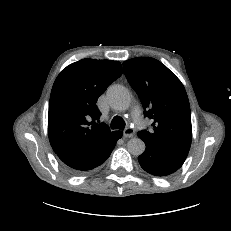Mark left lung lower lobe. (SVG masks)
Wrapping results in <instances>:
<instances>
[{
    "instance_id": "1",
    "label": "left lung lower lobe",
    "mask_w": 231,
    "mask_h": 231,
    "mask_svg": "<svg viewBox=\"0 0 231 231\" xmlns=\"http://www.w3.org/2000/svg\"><path fill=\"white\" fill-rule=\"evenodd\" d=\"M146 149L138 157L141 167L155 176H166L178 170L188 152L145 142Z\"/></svg>"
}]
</instances>
